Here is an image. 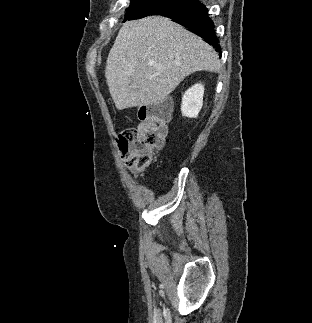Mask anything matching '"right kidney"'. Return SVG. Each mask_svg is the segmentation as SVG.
Instances as JSON below:
<instances>
[{"label":"right kidney","mask_w":312,"mask_h":323,"mask_svg":"<svg viewBox=\"0 0 312 323\" xmlns=\"http://www.w3.org/2000/svg\"><path fill=\"white\" fill-rule=\"evenodd\" d=\"M204 86L202 84H194L185 92L182 98L181 112L187 118H197L203 106Z\"/></svg>","instance_id":"right-kidney-1"}]
</instances>
